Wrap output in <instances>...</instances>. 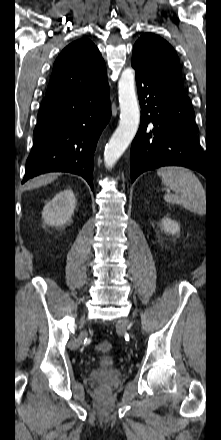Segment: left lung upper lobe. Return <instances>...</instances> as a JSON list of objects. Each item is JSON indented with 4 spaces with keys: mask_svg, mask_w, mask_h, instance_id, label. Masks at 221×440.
I'll return each instance as SVG.
<instances>
[{
    "mask_svg": "<svg viewBox=\"0 0 221 440\" xmlns=\"http://www.w3.org/2000/svg\"><path fill=\"white\" fill-rule=\"evenodd\" d=\"M132 58L153 75L184 89L179 58L164 39L146 33L134 45Z\"/></svg>",
    "mask_w": 221,
    "mask_h": 440,
    "instance_id": "obj_1",
    "label": "left lung upper lobe"
}]
</instances>
